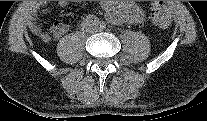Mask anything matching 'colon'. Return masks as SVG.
Returning a JSON list of instances; mask_svg holds the SVG:
<instances>
[{
	"mask_svg": "<svg viewBox=\"0 0 207 121\" xmlns=\"http://www.w3.org/2000/svg\"><path fill=\"white\" fill-rule=\"evenodd\" d=\"M150 16L153 23L161 28H168L171 25V12L166 2H153L151 4Z\"/></svg>",
	"mask_w": 207,
	"mask_h": 121,
	"instance_id": "obj_1",
	"label": "colon"
}]
</instances>
